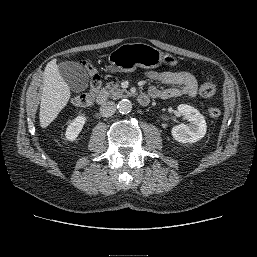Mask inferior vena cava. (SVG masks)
<instances>
[{
    "instance_id": "1",
    "label": "inferior vena cava",
    "mask_w": 257,
    "mask_h": 257,
    "mask_svg": "<svg viewBox=\"0 0 257 257\" xmlns=\"http://www.w3.org/2000/svg\"><path fill=\"white\" fill-rule=\"evenodd\" d=\"M116 111V104L112 101H108L100 107V114L103 117H110L112 116Z\"/></svg>"
}]
</instances>
